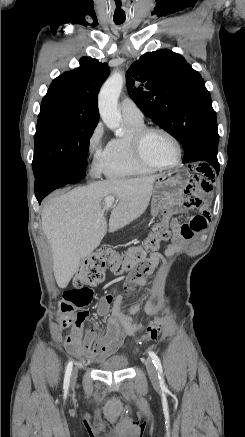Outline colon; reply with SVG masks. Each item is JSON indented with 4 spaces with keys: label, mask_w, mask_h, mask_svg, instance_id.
I'll return each instance as SVG.
<instances>
[{
    "label": "colon",
    "mask_w": 245,
    "mask_h": 437,
    "mask_svg": "<svg viewBox=\"0 0 245 437\" xmlns=\"http://www.w3.org/2000/svg\"><path fill=\"white\" fill-rule=\"evenodd\" d=\"M172 217V210L163 209L160 221L155 224L142 247L131 248L126 253L104 247L98 249L84 261L72 281L73 288L64 293L63 301L60 304L63 324L65 326L71 323L74 324L71 336L79 337L81 335L79 325L88 316V312L83 308L87 307L93 298L91 287L99 284L104 279L106 271L113 275H123L137 271L144 266L145 250H156L161 242L171 238L169 223ZM161 326L160 320L154 321L148 327L146 333L136 342L137 345L155 340L160 334Z\"/></svg>",
    "instance_id": "5ec220e1"
}]
</instances>
